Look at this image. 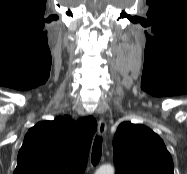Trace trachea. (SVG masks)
<instances>
[{
  "label": "trachea",
  "mask_w": 187,
  "mask_h": 174,
  "mask_svg": "<svg viewBox=\"0 0 187 174\" xmlns=\"http://www.w3.org/2000/svg\"><path fill=\"white\" fill-rule=\"evenodd\" d=\"M102 155V137L96 136L94 143H93V148H92V164L96 166L101 158Z\"/></svg>",
  "instance_id": "trachea-1"
}]
</instances>
